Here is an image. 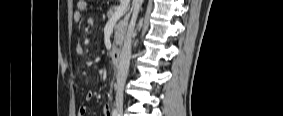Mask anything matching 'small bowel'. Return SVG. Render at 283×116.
I'll return each mask as SVG.
<instances>
[{
  "mask_svg": "<svg viewBox=\"0 0 283 116\" xmlns=\"http://www.w3.org/2000/svg\"><path fill=\"white\" fill-rule=\"evenodd\" d=\"M85 7H86V1H80V7L77 10H75V12L73 13L74 22L78 23L83 20V13ZM75 50L78 55H84V49L81 45H77ZM94 96L95 94L92 91H89L86 93L85 99L87 101H91L93 100ZM108 99H110V97H108ZM102 111L104 116H111V108L108 103L103 106ZM86 112L87 110L85 106L80 107L79 109L80 116L86 115Z\"/></svg>",
  "mask_w": 283,
  "mask_h": 116,
  "instance_id": "small-bowel-1",
  "label": "small bowel"
}]
</instances>
